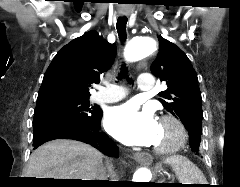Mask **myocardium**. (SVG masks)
I'll use <instances>...</instances> for the list:
<instances>
[{
	"label": "myocardium",
	"mask_w": 240,
	"mask_h": 187,
	"mask_svg": "<svg viewBox=\"0 0 240 187\" xmlns=\"http://www.w3.org/2000/svg\"><path fill=\"white\" fill-rule=\"evenodd\" d=\"M160 124L171 126L174 138L167 144L155 146L153 151L157 154H171L180 150L187 142L188 133L183 122L173 114H165L160 118Z\"/></svg>",
	"instance_id": "f54148a6"
}]
</instances>
